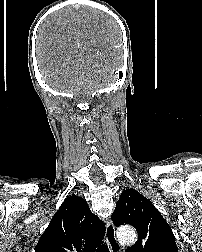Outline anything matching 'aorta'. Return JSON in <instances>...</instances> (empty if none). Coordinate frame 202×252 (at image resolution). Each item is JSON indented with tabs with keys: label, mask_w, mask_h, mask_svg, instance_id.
<instances>
[{
	"label": "aorta",
	"mask_w": 202,
	"mask_h": 252,
	"mask_svg": "<svg viewBox=\"0 0 202 252\" xmlns=\"http://www.w3.org/2000/svg\"><path fill=\"white\" fill-rule=\"evenodd\" d=\"M117 237L120 242L132 244L136 240V232L131 227L120 228L117 231Z\"/></svg>",
	"instance_id": "obj_1"
}]
</instances>
